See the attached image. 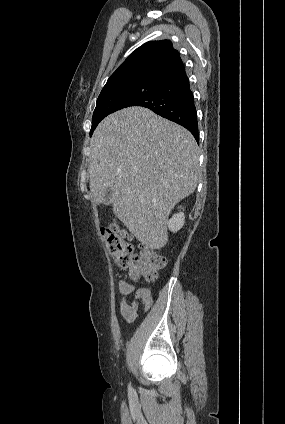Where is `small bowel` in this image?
Masks as SVG:
<instances>
[{"instance_id": "obj_1", "label": "small bowel", "mask_w": 285, "mask_h": 424, "mask_svg": "<svg viewBox=\"0 0 285 424\" xmlns=\"http://www.w3.org/2000/svg\"><path fill=\"white\" fill-rule=\"evenodd\" d=\"M118 286L122 295L119 303V312L128 323H133L138 316L139 310L148 311L150 309L152 305L150 291L143 287L136 288L125 279H121Z\"/></svg>"}]
</instances>
